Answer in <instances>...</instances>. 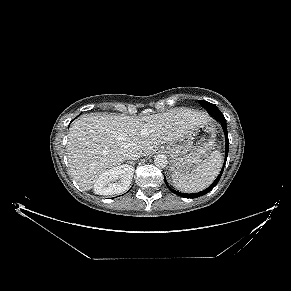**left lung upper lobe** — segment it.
Segmentation results:
<instances>
[{
    "label": "left lung upper lobe",
    "instance_id": "obj_1",
    "mask_svg": "<svg viewBox=\"0 0 291 291\" xmlns=\"http://www.w3.org/2000/svg\"><path fill=\"white\" fill-rule=\"evenodd\" d=\"M199 103L204 109L208 111L210 115L220 112L219 109L212 103L203 100H200Z\"/></svg>",
    "mask_w": 291,
    "mask_h": 291
}]
</instances>
